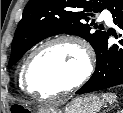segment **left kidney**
I'll list each match as a JSON object with an SVG mask.
<instances>
[{
	"instance_id": "obj_1",
	"label": "left kidney",
	"mask_w": 123,
	"mask_h": 113,
	"mask_svg": "<svg viewBox=\"0 0 123 113\" xmlns=\"http://www.w3.org/2000/svg\"><path fill=\"white\" fill-rule=\"evenodd\" d=\"M118 113H123V109L121 111H118Z\"/></svg>"
}]
</instances>
